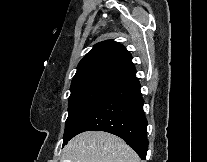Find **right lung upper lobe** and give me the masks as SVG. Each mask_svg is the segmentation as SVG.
Instances as JSON below:
<instances>
[{"label": "right lung upper lobe", "instance_id": "right-lung-upper-lobe-1", "mask_svg": "<svg viewBox=\"0 0 207 162\" xmlns=\"http://www.w3.org/2000/svg\"><path fill=\"white\" fill-rule=\"evenodd\" d=\"M136 75L132 57L113 40L96 44L80 61L71 90L88 86L118 87Z\"/></svg>", "mask_w": 207, "mask_h": 162}]
</instances>
